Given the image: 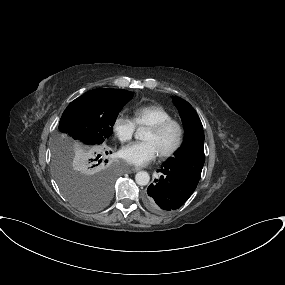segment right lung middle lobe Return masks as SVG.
Returning a JSON list of instances; mask_svg holds the SVG:
<instances>
[{"label": "right lung middle lobe", "mask_w": 285, "mask_h": 285, "mask_svg": "<svg viewBox=\"0 0 285 285\" xmlns=\"http://www.w3.org/2000/svg\"><path fill=\"white\" fill-rule=\"evenodd\" d=\"M132 95L120 89H94L72 101L60 119L53 147L54 175L63 194L80 209L99 210L111 198V167L92 173L88 166L103 159L99 154Z\"/></svg>", "instance_id": "1"}]
</instances>
